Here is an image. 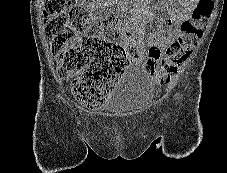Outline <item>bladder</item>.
Returning <instances> with one entry per match:
<instances>
[{"instance_id": "31cf9c89", "label": "bladder", "mask_w": 227, "mask_h": 173, "mask_svg": "<svg viewBox=\"0 0 227 173\" xmlns=\"http://www.w3.org/2000/svg\"><path fill=\"white\" fill-rule=\"evenodd\" d=\"M153 90L154 84L147 70L141 65H129L101 108L116 114L137 111L151 97Z\"/></svg>"}]
</instances>
